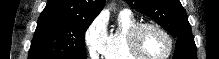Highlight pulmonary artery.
<instances>
[{
    "mask_svg": "<svg viewBox=\"0 0 219 59\" xmlns=\"http://www.w3.org/2000/svg\"><path fill=\"white\" fill-rule=\"evenodd\" d=\"M123 11H129L128 9H124Z\"/></svg>",
    "mask_w": 219,
    "mask_h": 59,
    "instance_id": "pulmonary-artery-1",
    "label": "pulmonary artery"
}]
</instances>
